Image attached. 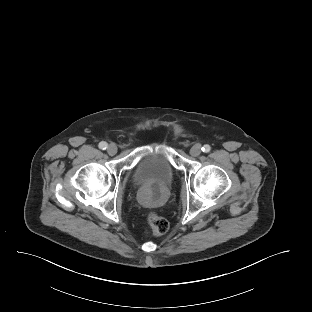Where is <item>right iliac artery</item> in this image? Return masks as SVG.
Returning a JSON list of instances; mask_svg holds the SVG:
<instances>
[{
  "label": "right iliac artery",
  "mask_w": 312,
  "mask_h": 312,
  "mask_svg": "<svg viewBox=\"0 0 312 312\" xmlns=\"http://www.w3.org/2000/svg\"><path fill=\"white\" fill-rule=\"evenodd\" d=\"M108 144L104 141L99 143V148L102 150H105L107 148Z\"/></svg>",
  "instance_id": "1"
}]
</instances>
